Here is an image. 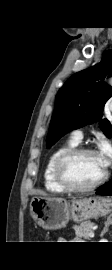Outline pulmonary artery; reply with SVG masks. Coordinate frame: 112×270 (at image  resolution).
<instances>
[{
	"label": "pulmonary artery",
	"mask_w": 112,
	"mask_h": 270,
	"mask_svg": "<svg viewBox=\"0 0 112 270\" xmlns=\"http://www.w3.org/2000/svg\"><path fill=\"white\" fill-rule=\"evenodd\" d=\"M82 138H83V134L80 130H74L72 132V139L76 141L77 143L81 142Z\"/></svg>",
	"instance_id": "pulmonary-artery-1"
}]
</instances>
